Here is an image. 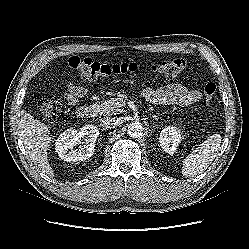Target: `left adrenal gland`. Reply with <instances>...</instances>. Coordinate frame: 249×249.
Instances as JSON below:
<instances>
[{
	"instance_id": "a2214340",
	"label": "left adrenal gland",
	"mask_w": 249,
	"mask_h": 249,
	"mask_svg": "<svg viewBox=\"0 0 249 249\" xmlns=\"http://www.w3.org/2000/svg\"><path fill=\"white\" fill-rule=\"evenodd\" d=\"M153 119L158 120V119H159V117H157V116H153Z\"/></svg>"
}]
</instances>
